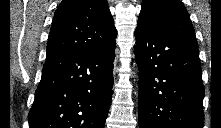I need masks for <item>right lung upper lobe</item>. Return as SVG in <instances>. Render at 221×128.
Here are the masks:
<instances>
[{
    "label": "right lung upper lobe",
    "mask_w": 221,
    "mask_h": 128,
    "mask_svg": "<svg viewBox=\"0 0 221 128\" xmlns=\"http://www.w3.org/2000/svg\"><path fill=\"white\" fill-rule=\"evenodd\" d=\"M117 32L105 0H63L53 18L47 57L103 48Z\"/></svg>",
    "instance_id": "1"
}]
</instances>
